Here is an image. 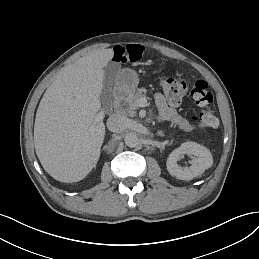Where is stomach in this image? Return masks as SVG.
Returning a JSON list of instances; mask_svg holds the SVG:
<instances>
[{
  "label": "stomach",
  "instance_id": "1",
  "mask_svg": "<svg viewBox=\"0 0 259 259\" xmlns=\"http://www.w3.org/2000/svg\"><path fill=\"white\" fill-rule=\"evenodd\" d=\"M139 83L138 75L130 69L119 71L115 77V86L118 90L125 93L133 91Z\"/></svg>",
  "mask_w": 259,
  "mask_h": 259
}]
</instances>
